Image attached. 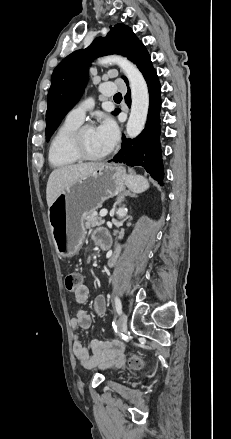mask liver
<instances>
[{
  "instance_id": "obj_1",
  "label": "liver",
  "mask_w": 231,
  "mask_h": 439,
  "mask_svg": "<svg viewBox=\"0 0 231 439\" xmlns=\"http://www.w3.org/2000/svg\"><path fill=\"white\" fill-rule=\"evenodd\" d=\"M103 165V163H80L62 166L53 170L48 178L46 187L48 207H50L55 199L70 185L81 178L95 173Z\"/></svg>"
}]
</instances>
